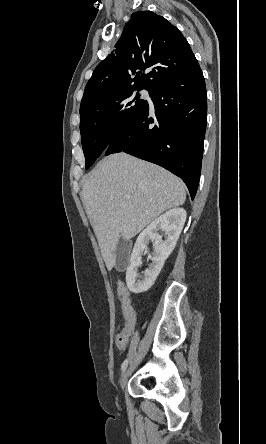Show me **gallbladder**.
Listing matches in <instances>:
<instances>
[{
    "mask_svg": "<svg viewBox=\"0 0 266 444\" xmlns=\"http://www.w3.org/2000/svg\"><path fill=\"white\" fill-rule=\"evenodd\" d=\"M129 250H130V243L129 241L123 239L122 237L119 238L117 246H116V264L115 268L118 271H122L127 263H128V256H129Z\"/></svg>",
    "mask_w": 266,
    "mask_h": 444,
    "instance_id": "1",
    "label": "gallbladder"
}]
</instances>
